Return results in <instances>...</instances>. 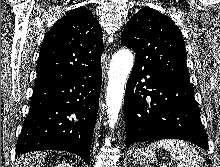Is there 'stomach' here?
Wrapping results in <instances>:
<instances>
[{
  "mask_svg": "<svg viewBox=\"0 0 220 167\" xmlns=\"http://www.w3.org/2000/svg\"><path fill=\"white\" fill-rule=\"evenodd\" d=\"M133 160L149 167L156 161V152L155 150L137 149L133 154Z\"/></svg>",
  "mask_w": 220,
  "mask_h": 167,
  "instance_id": "1",
  "label": "stomach"
}]
</instances>
